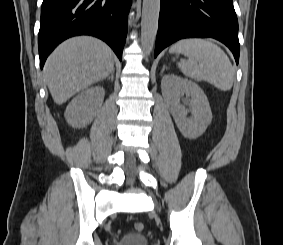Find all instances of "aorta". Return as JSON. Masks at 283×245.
Masks as SVG:
<instances>
[{
  "instance_id": "1",
  "label": "aorta",
  "mask_w": 283,
  "mask_h": 245,
  "mask_svg": "<svg viewBox=\"0 0 283 245\" xmlns=\"http://www.w3.org/2000/svg\"><path fill=\"white\" fill-rule=\"evenodd\" d=\"M160 12V0H143L141 19V45L144 53L149 55L153 49Z\"/></svg>"
}]
</instances>
